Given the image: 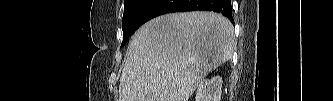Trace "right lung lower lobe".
Returning <instances> with one entry per match:
<instances>
[{"instance_id": "98d812e1", "label": "right lung lower lobe", "mask_w": 333, "mask_h": 101, "mask_svg": "<svg viewBox=\"0 0 333 101\" xmlns=\"http://www.w3.org/2000/svg\"><path fill=\"white\" fill-rule=\"evenodd\" d=\"M195 10L218 12L234 23L230 0H148L140 10L134 25L137 30L154 17Z\"/></svg>"}]
</instances>
